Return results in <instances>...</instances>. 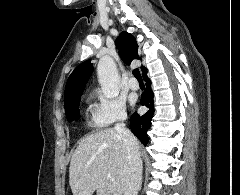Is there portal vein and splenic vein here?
Returning <instances> with one entry per match:
<instances>
[{
  "label": "portal vein and splenic vein",
  "instance_id": "portal-vein-and-splenic-vein-1",
  "mask_svg": "<svg viewBox=\"0 0 240 195\" xmlns=\"http://www.w3.org/2000/svg\"><path fill=\"white\" fill-rule=\"evenodd\" d=\"M114 195H119V193H114Z\"/></svg>",
  "mask_w": 240,
  "mask_h": 195
}]
</instances>
